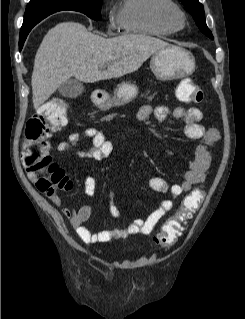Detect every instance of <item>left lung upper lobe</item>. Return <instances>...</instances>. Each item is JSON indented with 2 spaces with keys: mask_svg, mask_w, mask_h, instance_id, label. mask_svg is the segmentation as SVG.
Instances as JSON below:
<instances>
[{
  "mask_svg": "<svg viewBox=\"0 0 245 319\" xmlns=\"http://www.w3.org/2000/svg\"><path fill=\"white\" fill-rule=\"evenodd\" d=\"M185 8L194 17L199 29L209 38L214 39L211 31L206 26L204 18V7L198 0H180Z\"/></svg>",
  "mask_w": 245,
  "mask_h": 319,
  "instance_id": "left-lung-upper-lobe-1",
  "label": "left lung upper lobe"
}]
</instances>
